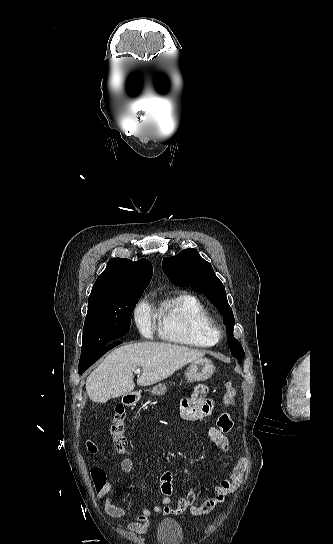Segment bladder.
<instances>
[{"instance_id": "bladder-1", "label": "bladder", "mask_w": 333, "mask_h": 544, "mask_svg": "<svg viewBox=\"0 0 333 544\" xmlns=\"http://www.w3.org/2000/svg\"><path fill=\"white\" fill-rule=\"evenodd\" d=\"M184 534L180 523L174 519H164L156 532L159 544H181Z\"/></svg>"}]
</instances>
